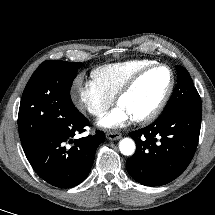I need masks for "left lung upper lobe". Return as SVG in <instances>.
<instances>
[{"label":"left lung upper lobe","instance_id":"left-lung-upper-lobe-1","mask_svg":"<svg viewBox=\"0 0 215 215\" xmlns=\"http://www.w3.org/2000/svg\"><path fill=\"white\" fill-rule=\"evenodd\" d=\"M177 68V85L163 113L173 110H188L201 113V98L192 82L188 71Z\"/></svg>","mask_w":215,"mask_h":215}]
</instances>
